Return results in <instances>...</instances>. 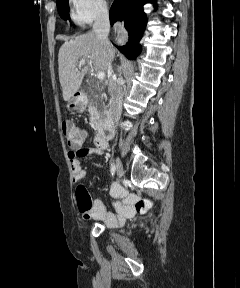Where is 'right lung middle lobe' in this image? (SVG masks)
Here are the masks:
<instances>
[{"label":"right lung middle lobe","mask_w":240,"mask_h":288,"mask_svg":"<svg viewBox=\"0 0 240 288\" xmlns=\"http://www.w3.org/2000/svg\"><path fill=\"white\" fill-rule=\"evenodd\" d=\"M69 0H57V9L60 16L67 20L69 17Z\"/></svg>","instance_id":"right-lung-middle-lobe-1"}]
</instances>
